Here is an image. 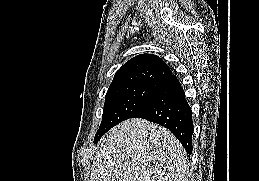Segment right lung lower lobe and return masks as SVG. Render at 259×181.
Wrapping results in <instances>:
<instances>
[{
  "mask_svg": "<svg viewBox=\"0 0 259 181\" xmlns=\"http://www.w3.org/2000/svg\"><path fill=\"white\" fill-rule=\"evenodd\" d=\"M192 111L177 77L171 74L153 97L134 115L169 129L181 142L188 155L192 153ZM101 136H96L97 142Z\"/></svg>",
  "mask_w": 259,
  "mask_h": 181,
  "instance_id": "obj_1",
  "label": "right lung lower lobe"
}]
</instances>
